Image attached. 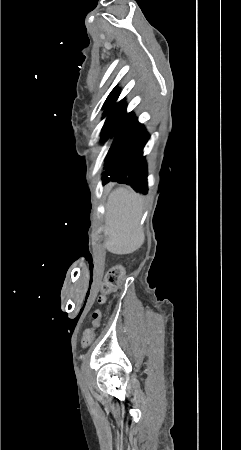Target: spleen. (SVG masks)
<instances>
[{
    "label": "spleen",
    "instance_id": "1",
    "mask_svg": "<svg viewBox=\"0 0 241 450\" xmlns=\"http://www.w3.org/2000/svg\"><path fill=\"white\" fill-rule=\"evenodd\" d=\"M106 208L109 218L105 220L110 225L103 235L106 248L111 254H133L141 248L145 236L139 226L142 204L139 194L132 188H116L108 198Z\"/></svg>",
    "mask_w": 241,
    "mask_h": 450
}]
</instances>
